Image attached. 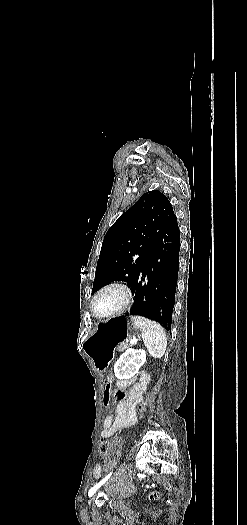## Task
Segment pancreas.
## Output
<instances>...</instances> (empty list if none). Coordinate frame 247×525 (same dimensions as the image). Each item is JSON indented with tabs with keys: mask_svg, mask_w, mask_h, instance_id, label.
Masks as SVG:
<instances>
[{
	"mask_svg": "<svg viewBox=\"0 0 247 525\" xmlns=\"http://www.w3.org/2000/svg\"><path fill=\"white\" fill-rule=\"evenodd\" d=\"M128 347H131V345H123V346H120V347H115L114 351L123 353L125 351V349H128Z\"/></svg>",
	"mask_w": 247,
	"mask_h": 525,
	"instance_id": "cf45deb5",
	"label": "pancreas"
}]
</instances>
